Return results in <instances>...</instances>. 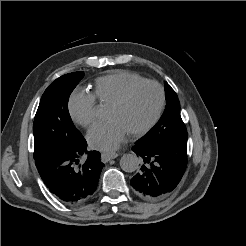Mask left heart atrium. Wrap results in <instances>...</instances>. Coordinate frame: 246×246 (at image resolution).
Instances as JSON below:
<instances>
[{"label": "left heart atrium", "mask_w": 246, "mask_h": 246, "mask_svg": "<svg viewBox=\"0 0 246 246\" xmlns=\"http://www.w3.org/2000/svg\"><path fill=\"white\" fill-rule=\"evenodd\" d=\"M128 133V129L118 119H111L90 129L87 139L97 150L112 151L124 141Z\"/></svg>", "instance_id": "left-heart-atrium-1"}]
</instances>
